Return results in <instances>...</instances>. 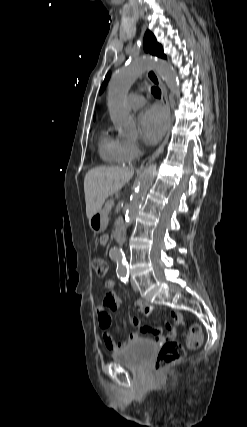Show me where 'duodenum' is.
Listing matches in <instances>:
<instances>
[{"label":"duodenum","instance_id":"1","mask_svg":"<svg viewBox=\"0 0 247 427\" xmlns=\"http://www.w3.org/2000/svg\"><path fill=\"white\" fill-rule=\"evenodd\" d=\"M123 237H124V224L119 223L115 231V239L117 240V242H122Z\"/></svg>","mask_w":247,"mask_h":427}]
</instances>
